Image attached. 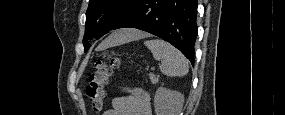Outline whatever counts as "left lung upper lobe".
Here are the masks:
<instances>
[{
    "mask_svg": "<svg viewBox=\"0 0 285 115\" xmlns=\"http://www.w3.org/2000/svg\"><path fill=\"white\" fill-rule=\"evenodd\" d=\"M137 0H90L83 38L85 51L89 39H99L112 29Z\"/></svg>",
    "mask_w": 285,
    "mask_h": 115,
    "instance_id": "obj_1",
    "label": "left lung upper lobe"
}]
</instances>
